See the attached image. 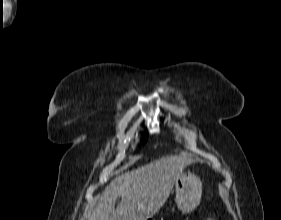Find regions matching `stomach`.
Masks as SVG:
<instances>
[{"label": "stomach", "mask_w": 281, "mask_h": 220, "mask_svg": "<svg viewBox=\"0 0 281 220\" xmlns=\"http://www.w3.org/2000/svg\"><path fill=\"white\" fill-rule=\"evenodd\" d=\"M176 204L182 213H190L200 203L202 183L194 173H182L175 181Z\"/></svg>", "instance_id": "stomach-1"}]
</instances>
